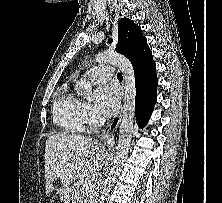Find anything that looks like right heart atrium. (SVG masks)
<instances>
[{"label":"right heart atrium","instance_id":"1","mask_svg":"<svg viewBox=\"0 0 222 203\" xmlns=\"http://www.w3.org/2000/svg\"><path fill=\"white\" fill-rule=\"evenodd\" d=\"M83 114H84L85 123L89 125H92L95 123L97 117L94 110L89 104L84 103Z\"/></svg>","mask_w":222,"mask_h":203}]
</instances>
